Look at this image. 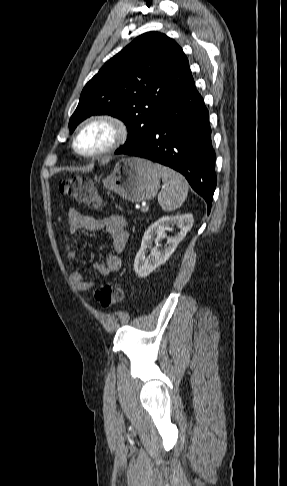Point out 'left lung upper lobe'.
I'll return each mask as SVG.
<instances>
[{
  "label": "left lung upper lobe",
  "instance_id": "obj_1",
  "mask_svg": "<svg viewBox=\"0 0 287 486\" xmlns=\"http://www.w3.org/2000/svg\"><path fill=\"white\" fill-rule=\"evenodd\" d=\"M181 47L162 33L147 32L122 49L84 87L69 129L95 114L121 119L129 134L120 154L142 144L169 102L192 80Z\"/></svg>",
  "mask_w": 287,
  "mask_h": 486
}]
</instances>
